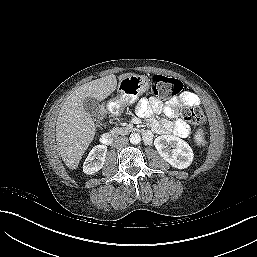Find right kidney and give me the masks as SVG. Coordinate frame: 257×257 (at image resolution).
<instances>
[{
  "mask_svg": "<svg viewBox=\"0 0 257 257\" xmlns=\"http://www.w3.org/2000/svg\"><path fill=\"white\" fill-rule=\"evenodd\" d=\"M107 154L105 145H97L89 152L83 164V172L86 174H94L98 172L104 165Z\"/></svg>",
  "mask_w": 257,
  "mask_h": 257,
  "instance_id": "obj_1",
  "label": "right kidney"
}]
</instances>
